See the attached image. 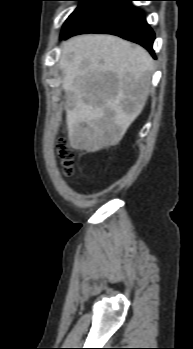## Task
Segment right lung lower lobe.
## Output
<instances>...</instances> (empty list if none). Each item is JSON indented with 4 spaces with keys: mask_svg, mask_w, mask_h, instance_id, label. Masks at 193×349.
I'll list each match as a JSON object with an SVG mask.
<instances>
[{
    "mask_svg": "<svg viewBox=\"0 0 193 349\" xmlns=\"http://www.w3.org/2000/svg\"><path fill=\"white\" fill-rule=\"evenodd\" d=\"M134 0H104L73 27L62 33L67 39L82 33L113 34L145 47L155 58L153 51L154 32L141 11L131 2Z\"/></svg>",
    "mask_w": 193,
    "mask_h": 349,
    "instance_id": "98d812e1",
    "label": "right lung lower lobe"
}]
</instances>
